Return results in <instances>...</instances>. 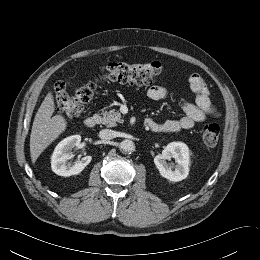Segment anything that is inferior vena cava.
Masks as SVG:
<instances>
[{
  "label": "inferior vena cava",
  "instance_id": "602c4592",
  "mask_svg": "<svg viewBox=\"0 0 260 260\" xmlns=\"http://www.w3.org/2000/svg\"><path fill=\"white\" fill-rule=\"evenodd\" d=\"M99 137L103 140H111L114 137V131L110 129H103L99 132Z\"/></svg>",
  "mask_w": 260,
  "mask_h": 260
}]
</instances>
